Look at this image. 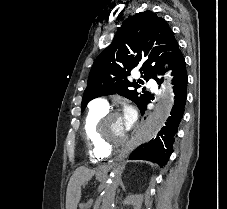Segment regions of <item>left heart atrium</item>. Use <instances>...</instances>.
<instances>
[{"label": "left heart atrium", "mask_w": 227, "mask_h": 209, "mask_svg": "<svg viewBox=\"0 0 227 209\" xmlns=\"http://www.w3.org/2000/svg\"><path fill=\"white\" fill-rule=\"evenodd\" d=\"M136 117V110L131 106H126L122 115V120L128 129L134 125Z\"/></svg>", "instance_id": "obj_1"}]
</instances>
